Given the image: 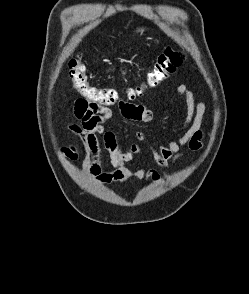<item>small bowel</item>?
<instances>
[{"label":"small bowel","instance_id":"c3829d8e","mask_svg":"<svg viewBox=\"0 0 249 294\" xmlns=\"http://www.w3.org/2000/svg\"><path fill=\"white\" fill-rule=\"evenodd\" d=\"M179 100L186 109L180 132L176 137L167 141L151 142L142 132H136L134 138L138 142L145 143L155 163L163 169L166 179L171 177L170 169L177 162L186 157L181 150L187 146L192 151H199L203 146L204 132L201 128L206 106L203 102H195L191 91L183 84L175 88ZM120 115L130 122L146 124L154 119V112L141 104H134L126 100L117 103ZM75 115L80 124H70V130L81 141L84 152L81 173L98 185H108L113 182L127 184L130 181H152L156 184L162 179L157 169L143 165L136 170H131L127 164L144 151L138 143H132L125 148L121 146L119 135L106 126L111 118V109L103 105H91L84 99L75 102ZM102 136V138H100ZM103 151L109 158L110 168H104ZM60 155L69 161H75L79 157L76 146L69 144L60 150Z\"/></svg>","mask_w":249,"mask_h":294}]
</instances>
